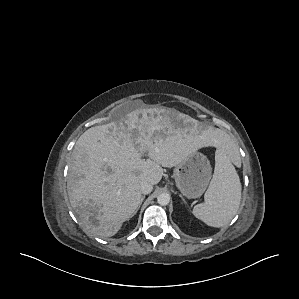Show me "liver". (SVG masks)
<instances>
[{
	"instance_id": "1",
	"label": "liver",
	"mask_w": 299,
	"mask_h": 299,
	"mask_svg": "<svg viewBox=\"0 0 299 299\" xmlns=\"http://www.w3.org/2000/svg\"><path fill=\"white\" fill-rule=\"evenodd\" d=\"M206 138L225 146L227 135L222 130L189 135L165 109H136L86 130L75 143L67 182L80 223L90 234L115 235L141 205L140 183L158 184L162 167L177 166Z\"/></svg>"
}]
</instances>
